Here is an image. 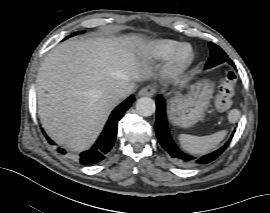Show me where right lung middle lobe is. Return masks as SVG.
Instances as JSON below:
<instances>
[{
	"mask_svg": "<svg viewBox=\"0 0 270 213\" xmlns=\"http://www.w3.org/2000/svg\"><path fill=\"white\" fill-rule=\"evenodd\" d=\"M79 33H81V32L73 33L72 35L68 36L67 38H69V37H71V36H74V35H76V34H79Z\"/></svg>",
	"mask_w": 270,
	"mask_h": 213,
	"instance_id": "1",
	"label": "right lung middle lobe"
}]
</instances>
